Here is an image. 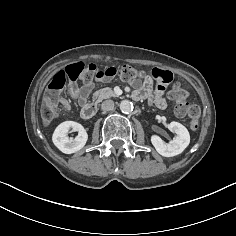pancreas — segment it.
Returning <instances> with one entry per match:
<instances>
[{
    "instance_id": "obj_1",
    "label": "pancreas",
    "mask_w": 236,
    "mask_h": 236,
    "mask_svg": "<svg viewBox=\"0 0 236 236\" xmlns=\"http://www.w3.org/2000/svg\"><path fill=\"white\" fill-rule=\"evenodd\" d=\"M110 97H116V94L112 89L106 87V88H102V89L97 90L96 92H94L92 98H93V100H95L96 103H99L103 99H107V98H110Z\"/></svg>"
}]
</instances>
